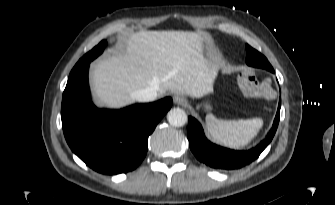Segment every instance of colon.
Here are the masks:
<instances>
[{
	"label": "colon",
	"mask_w": 335,
	"mask_h": 205,
	"mask_svg": "<svg viewBox=\"0 0 335 205\" xmlns=\"http://www.w3.org/2000/svg\"><path fill=\"white\" fill-rule=\"evenodd\" d=\"M238 85L241 92L250 98H271L273 89L269 81H258L255 75L245 70L238 76Z\"/></svg>",
	"instance_id": "5ec220e1"
}]
</instances>
